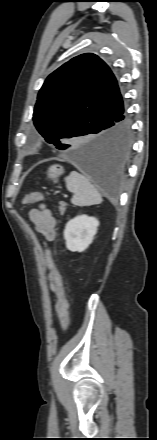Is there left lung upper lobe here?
I'll list each match as a JSON object with an SVG mask.
<instances>
[{"label":"left lung upper lobe","mask_w":157,"mask_h":440,"mask_svg":"<svg viewBox=\"0 0 157 440\" xmlns=\"http://www.w3.org/2000/svg\"><path fill=\"white\" fill-rule=\"evenodd\" d=\"M117 80L97 55H79L51 73L39 91L33 121L48 143L65 149L71 138L92 135L122 108Z\"/></svg>","instance_id":"left-lung-upper-lobe-1"}]
</instances>
